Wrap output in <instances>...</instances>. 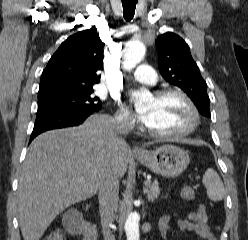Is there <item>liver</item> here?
<instances>
[{"mask_svg":"<svg viewBox=\"0 0 248 240\" xmlns=\"http://www.w3.org/2000/svg\"><path fill=\"white\" fill-rule=\"evenodd\" d=\"M114 119L92 115L82 125L36 137L19 173L17 208L24 240H40L67 207L95 195L103 175L126 173L129 150L112 140Z\"/></svg>","mask_w":248,"mask_h":240,"instance_id":"1","label":"liver"}]
</instances>
